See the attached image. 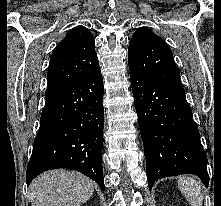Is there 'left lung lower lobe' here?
<instances>
[{"label": "left lung lower lobe", "instance_id": "1", "mask_svg": "<svg viewBox=\"0 0 221 206\" xmlns=\"http://www.w3.org/2000/svg\"><path fill=\"white\" fill-rule=\"evenodd\" d=\"M151 190L160 178L195 174L207 187V157L183 88L130 74Z\"/></svg>", "mask_w": 221, "mask_h": 206}]
</instances>
